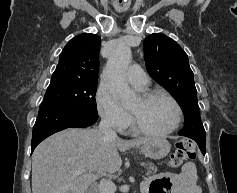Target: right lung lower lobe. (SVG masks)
Returning a JSON list of instances; mask_svg holds the SVG:
<instances>
[{
    "instance_id": "98d812e1",
    "label": "right lung lower lobe",
    "mask_w": 237,
    "mask_h": 193,
    "mask_svg": "<svg viewBox=\"0 0 237 193\" xmlns=\"http://www.w3.org/2000/svg\"><path fill=\"white\" fill-rule=\"evenodd\" d=\"M98 116L78 114L53 106H40L33 127L31 154L35 147L48 136L66 128H84L96 122Z\"/></svg>"
}]
</instances>
